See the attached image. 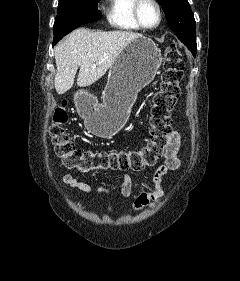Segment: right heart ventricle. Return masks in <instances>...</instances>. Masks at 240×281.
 <instances>
[{
	"label": "right heart ventricle",
	"mask_w": 240,
	"mask_h": 281,
	"mask_svg": "<svg viewBox=\"0 0 240 281\" xmlns=\"http://www.w3.org/2000/svg\"><path fill=\"white\" fill-rule=\"evenodd\" d=\"M135 0H108L106 18L108 23L117 30L139 31L142 28L133 16Z\"/></svg>",
	"instance_id": "1"
}]
</instances>
